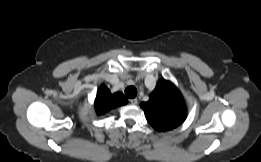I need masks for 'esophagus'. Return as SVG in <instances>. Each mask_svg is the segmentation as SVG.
Segmentation results:
<instances>
[{
    "mask_svg": "<svg viewBox=\"0 0 261 162\" xmlns=\"http://www.w3.org/2000/svg\"><path fill=\"white\" fill-rule=\"evenodd\" d=\"M129 101H130V103L133 104V105H136V104L138 103L137 98L130 99Z\"/></svg>",
    "mask_w": 261,
    "mask_h": 162,
    "instance_id": "1",
    "label": "esophagus"
}]
</instances>
